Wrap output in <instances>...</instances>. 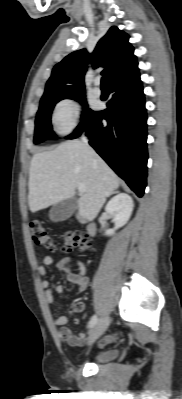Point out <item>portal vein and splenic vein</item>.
Masks as SVG:
<instances>
[{
  "label": "portal vein and splenic vein",
  "mask_w": 182,
  "mask_h": 399,
  "mask_svg": "<svg viewBox=\"0 0 182 399\" xmlns=\"http://www.w3.org/2000/svg\"><path fill=\"white\" fill-rule=\"evenodd\" d=\"M78 190L80 193H84L86 191V187L84 184H79L78 185Z\"/></svg>",
  "instance_id": "portal-vein-and-splenic-vein-1"
}]
</instances>
